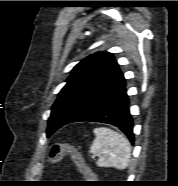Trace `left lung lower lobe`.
<instances>
[{
    "label": "left lung lower lobe",
    "mask_w": 178,
    "mask_h": 186,
    "mask_svg": "<svg viewBox=\"0 0 178 186\" xmlns=\"http://www.w3.org/2000/svg\"><path fill=\"white\" fill-rule=\"evenodd\" d=\"M125 86L84 110L71 122L89 121L111 124L118 127L131 142H134L133 120Z\"/></svg>",
    "instance_id": "obj_1"
}]
</instances>
